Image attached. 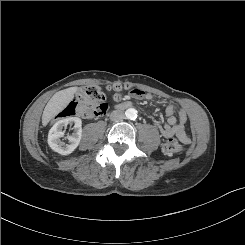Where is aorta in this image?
Returning a JSON list of instances; mask_svg holds the SVG:
<instances>
[{"instance_id":"762f6f07","label":"aorta","mask_w":245,"mask_h":245,"mask_svg":"<svg viewBox=\"0 0 245 245\" xmlns=\"http://www.w3.org/2000/svg\"><path fill=\"white\" fill-rule=\"evenodd\" d=\"M125 116L128 119L134 120L137 118V110L134 108H129L125 111Z\"/></svg>"}]
</instances>
